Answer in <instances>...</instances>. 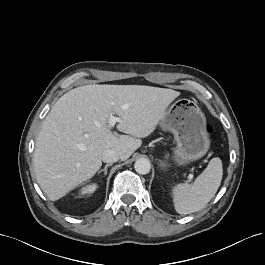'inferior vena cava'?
I'll use <instances>...</instances> for the list:
<instances>
[{
    "mask_svg": "<svg viewBox=\"0 0 265 265\" xmlns=\"http://www.w3.org/2000/svg\"><path fill=\"white\" fill-rule=\"evenodd\" d=\"M119 159H120V156L118 152H116L115 150H106L102 154V160L105 163L112 164L114 162H117Z\"/></svg>",
    "mask_w": 265,
    "mask_h": 265,
    "instance_id": "inferior-vena-cava-1",
    "label": "inferior vena cava"
}]
</instances>
